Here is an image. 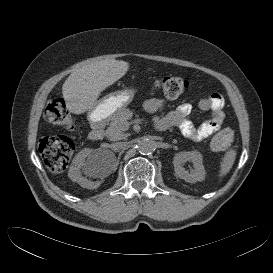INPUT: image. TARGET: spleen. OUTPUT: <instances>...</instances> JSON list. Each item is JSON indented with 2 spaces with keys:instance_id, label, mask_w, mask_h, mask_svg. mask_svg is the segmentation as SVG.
Instances as JSON below:
<instances>
[{
  "instance_id": "spleen-1",
  "label": "spleen",
  "mask_w": 273,
  "mask_h": 273,
  "mask_svg": "<svg viewBox=\"0 0 273 273\" xmlns=\"http://www.w3.org/2000/svg\"><path fill=\"white\" fill-rule=\"evenodd\" d=\"M236 159V151L235 150H229L226 152L224 157L222 158V162L220 164V170H219V176L223 177L225 176L232 168L234 162Z\"/></svg>"
}]
</instances>
